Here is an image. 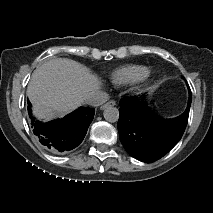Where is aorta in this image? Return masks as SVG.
Wrapping results in <instances>:
<instances>
[{"label":"aorta","mask_w":213,"mask_h":213,"mask_svg":"<svg viewBox=\"0 0 213 213\" xmlns=\"http://www.w3.org/2000/svg\"><path fill=\"white\" fill-rule=\"evenodd\" d=\"M103 116L107 122L115 123L119 119V110L112 105H108L103 112Z\"/></svg>","instance_id":"1"}]
</instances>
